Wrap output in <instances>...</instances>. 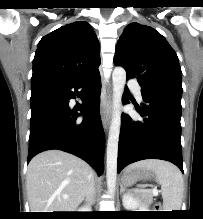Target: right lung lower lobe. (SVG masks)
<instances>
[{
  "instance_id": "98d812e1",
  "label": "right lung lower lobe",
  "mask_w": 203,
  "mask_h": 219,
  "mask_svg": "<svg viewBox=\"0 0 203 219\" xmlns=\"http://www.w3.org/2000/svg\"><path fill=\"white\" fill-rule=\"evenodd\" d=\"M82 104L70 106L79 96ZM101 79L99 72L68 79H50L32 84L29 152L27 163L38 153L59 149L88 162L99 175L103 172L104 131L100 118ZM80 111L83 119L78 117Z\"/></svg>"
}]
</instances>
